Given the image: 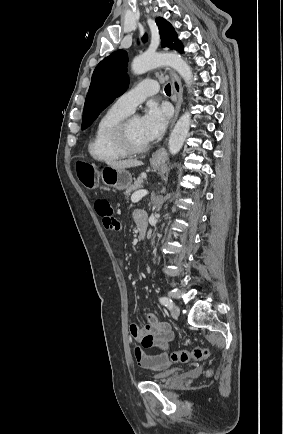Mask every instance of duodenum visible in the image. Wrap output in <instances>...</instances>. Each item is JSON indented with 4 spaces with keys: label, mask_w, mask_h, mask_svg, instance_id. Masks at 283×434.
Masks as SVG:
<instances>
[{
    "label": "duodenum",
    "mask_w": 283,
    "mask_h": 434,
    "mask_svg": "<svg viewBox=\"0 0 283 434\" xmlns=\"http://www.w3.org/2000/svg\"><path fill=\"white\" fill-rule=\"evenodd\" d=\"M137 228H138L139 239L144 240L146 236L147 222L144 220L138 221Z\"/></svg>",
    "instance_id": "410a0bca"
}]
</instances>
